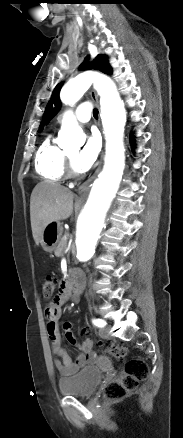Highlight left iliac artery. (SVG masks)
Listing matches in <instances>:
<instances>
[{
  "mask_svg": "<svg viewBox=\"0 0 183 438\" xmlns=\"http://www.w3.org/2000/svg\"><path fill=\"white\" fill-rule=\"evenodd\" d=\"M92 322L97 327H104L106 325V322L102 319H93Z\"/></svg>",
  "mask_w": 183,
  "mask_h": 438,
  "instance_id": "obj_1",
  "label": "left iliac artery"
}]
</instances>
